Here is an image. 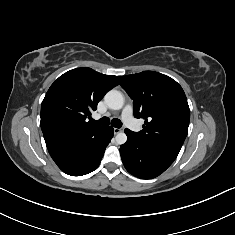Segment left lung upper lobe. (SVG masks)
Masks as SVG:
<instances>
[{
    "label": "left lung upper lobe",
    "mask_w": 235,
    "mask_h": 235,
    "mask_svg": "<svg viewBox=\"0 0 235 235\" xmlns=\"http://www.w3.org/2000/svg\"><path fill=\"white\" fill-rule=\"evenodd\" d=\"M133 99L134 116L145 119L142 140L179 153L188 133L190 110L182 87L172 78L154 71L118 76Z\"/></svg>",
    "instance_id": "left-lung-upper-lobe-1"
}]
</instances>
